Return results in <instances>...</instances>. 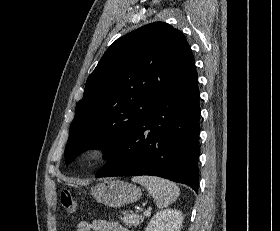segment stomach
Wrapping results in <instances>:
<instances>
[{"label":"stomach","mask_w":280,"mask_h":231,"mask_svg":"<svg viewBox=\"0 0 280 231\" xmlns=\"http://www.w3.org/2000/svg\"><path fill=\"white\" fill-rule=\"evenodd\" d=\"M91 193L100 203L108 205V207H121L125 203H133L139 199L142 191L140 187L127 183V181H120V179H113V181H102L91 187Z\"/></svg>","instance_id":"0dacf381"}]
</instances>
